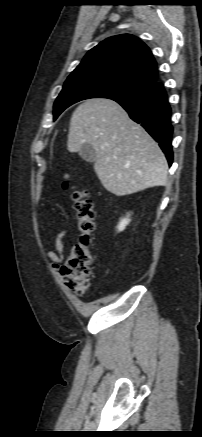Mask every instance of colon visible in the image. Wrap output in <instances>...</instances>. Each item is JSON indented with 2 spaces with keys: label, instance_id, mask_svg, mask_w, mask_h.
Listing matches in <instances>:
<instances>
[{
  "label": "colon",
  "instance_id": "colon-1",
  "mask_svg": "<svg viewBox=\"0 0 202 437\" xmlns=\"http://www.w3.org/2000/svg\"><path fill=\"white\" fill-rule=\"evenodd\" d=\"M65 178L64 187L71 190L74 202L78 237L70 246L66 260L60 268V273L65 286L76 295L82 296L90 283L95 212L88 192L72 183L69 175H66Z\"/></svg>",
  "mask_w": 202,
  "mask_h": 437
}]
</instances>
